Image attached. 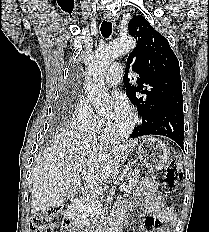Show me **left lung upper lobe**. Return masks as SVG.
Instances as JSON below:
<instances>
[{"label": "left lung upper lobe", "mask_w": 209, "mask_h": 232, "mask_svg": "<svg viewBox=\"0 0 209 232\" xmlns=\"http://www.w3.org/2000/svg\"><path fill=\"white\" fill-rule=\"evenodd\" d=\"M128 29L137 46L127 59L123 82L126 95L136 105L142 122L162 109L183 106L179 61L167 39L142 15L133 17ZM129 69L139 75L135 86L129 84Z\"/></svg>", "instance_id": "left-lung-upper-lobe-1"}]
</instances>
